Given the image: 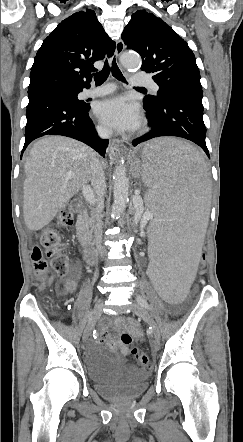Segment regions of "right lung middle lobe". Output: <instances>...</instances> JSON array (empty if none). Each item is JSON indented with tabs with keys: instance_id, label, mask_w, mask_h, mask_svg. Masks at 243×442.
I'll return each instance as SVG.
<instances>
[{
	"instance_id": "dd1d6c3e",
	"label": "right lung middle lobe",
	"mask_w": 243,
	"mask_h": 442,
	"mask_svg": "<svg viewBox=\"0 0 243 442\" xmlns=\"http://www.w3.org/2000/svg\"><path fill=\"white\" fill-rule=\"evenodd\" d=\"M74 93H76V94H78L79 93V91H73Z\"/></svg>"
}]
</instances>
